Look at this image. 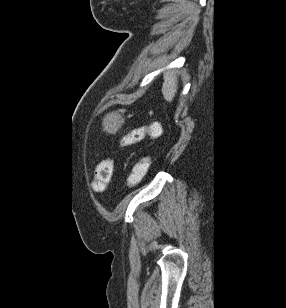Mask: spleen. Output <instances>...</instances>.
Here are the masks:
<instances>
[{
	"instance_id": "spleen-1",
	"label": "spleen",
	"mask_w": 286,
	"mask_h": 308,
	"mask_svg": "<svg viewBox=\"0 0 286 308\" xmlns=\"http://www.w3.org/2000/svg\"><path fill=\"white\" fill-rule=\"evenodd\" d=\"M178 78L176 74L172 72H167L164 74V83L162 86V93L164 99L171 102L177 92Z\"/></svg>"
}]
</instances>
